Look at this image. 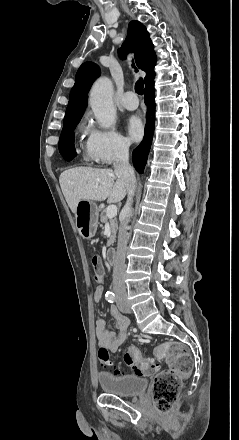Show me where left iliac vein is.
<instances>
[{
  "mask_svg": "<svg viewBox=\"0 0 239 440\" xmlns=\"http://www.w3.org/2000/svg\"><path fill=\"white\" fill-rule=\"evenodd\" d=\"M119 309L123 312V313H128L129 311L124 309L123 307V303L121 301L117 302Z\"/></svg>",
  "mask_w": 239,
  "mask_h": 440,
  "instance_id": "1",
  "label": "left iliac vein"
}]
</instances>
